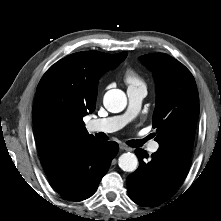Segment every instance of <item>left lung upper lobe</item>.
Listing matches in <instances>:
<instances>
[{
  "label": "left lung upper lobe",
  "instance_id": "1",
  "mask_svg": "<svg viewBox=\"0 0 221 221\" xmlns=\"http://www.w3.org/2000/svg\"><path fill=\"white\" fill-rule=\"evenodd\" d=\"M156 81V107L153 114L155 140L159 148L191 158L199 115V97L190 71L164 53L140 57Z\"/></svg>",
  "mask_w": 221,
  "mask_h": 221
}]
</instances>
